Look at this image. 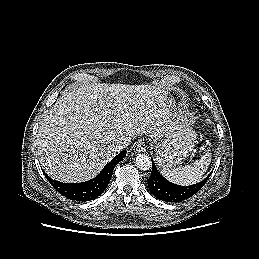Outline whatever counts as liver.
I'll return each mask as SVG.
<instances>
[{"instance_id":"1","label":"liver","mask_w":259,"mask_h":259,"mask_svg":"<svg viewBox=\"0 0 259 259\" xmlns=\"http://www.w3.org/2000/svg\"><path fill=\"white\" fill-rule=\"evenodd\" d=\"M172 99L151 85L94 83L64 91L44 115L37 155L44 171L65 183L95 177L137 135L162 138L173 124Z\"/></svg>"}]
</instances>
